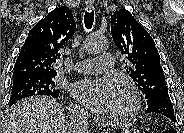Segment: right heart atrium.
I'll list each match as a JSON object with an SVG mask.
<instances>
[{
	"mask_svg": "<svg viewBox=\"0 0 184 133\" xmlns=\"http://www.w3.org/2000/svg\"><path fill=\"white\" fill-rule=\"evenodd\" d=\"M71 110L73 112H77V113L83 112V109L79 105H77L75 103L71 104Z\"/></svg>",
	"mask_w": 184,
	"mask_h": 133,
	"instance_id": "obj_1",
	"label": "right heart atrium"
}]
</instances>
